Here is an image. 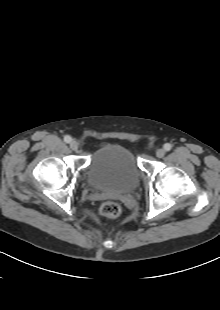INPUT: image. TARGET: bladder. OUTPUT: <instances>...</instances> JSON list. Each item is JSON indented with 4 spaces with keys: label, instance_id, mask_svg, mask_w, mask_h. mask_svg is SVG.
Listing matches in <instances>:
<instances>
[{
    "label": "bladder",
    "instance_id": "31cf9c89",
    "mask_svg": "<svg viewBox=\"0 0 220 310\" xmlns=\"http://www.w3.org/2000/svg\"><path fill=\"white\" fill-rule=\"evenodd\" d=\"M87 181L96 190L124 194L138 186L140 172L128 149L106 145L92 154L87 167Z\"/></svg>",
    "mask_w": 220,
    "mask_h": 310
}]
</instances>
